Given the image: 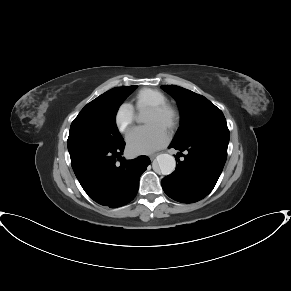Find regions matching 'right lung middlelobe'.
<instances>
[{
    "instance_id": "right-lung-middle-lobe-1",
    "label": "right lung middle lobe",
    "mask_w": 291,
    "mask_h": 291,
    "mask_svg": "<svg viewBox=\"0 0 291 291\" xmlns=\"http://www.w3.org/2000/svg\"><path fill=\"white\" fill-rule=\"evenodd\" d=\"M136 88V85L113 88L88 103L71 124L68 144L87 142L116 146L124 142L115 116L121 103Z\"/></svg>"
}]
</instances>
